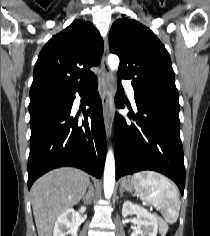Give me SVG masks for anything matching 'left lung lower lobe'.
<instances>
[{"label": "left lung lower lobe", "mask_w": 210, "mask_h": 236, "mask_svg": "<svg viewBox=\"0 0 210 236\" xmlns=\"http://www.w3.org/2000/svg\"><path fill=\"white\" fill-rule=\"evenodd\" d=\"M119 87L121 84L119 82ZM138 114H128L136 124L115 116L114 148L116 180L142 170H154L171 178L183 195L185 167L179 129L178 99L162 95H135ZM118 108H124L118 94Z\"/></svg>", "instance_id": "1"}]
</instances>
